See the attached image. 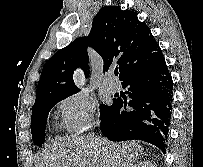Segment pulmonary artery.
Returning <instances> with one entry per match:
<instances>
[{"instance_id":"e3ab8cb5","label":"pulmonary artery","mask_w":203,"mask_h":167,"mask_svg":"<svg viewBox=\"0 0 203 167\" xmlns=\"http://www.w3.org/2000/svg\"><path fill=\"white\" fill-rule=\"evenodd\" d=\"M105 87L110 91V92H116L119 89V84L115 79L110 75L106 78L105 80Z\"/></svg>"}]
</instances>
